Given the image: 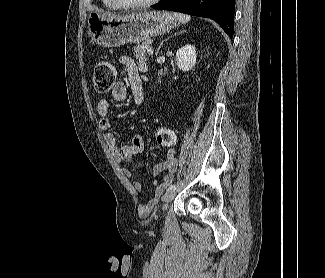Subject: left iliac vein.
<instances>
[{
	"label": "left iliac vein",
	"mask_w": 325,
	"mask_h": 278,
	"mask_svg": "<svg viewBox=\"0 0 325 278\" xmlns=\"http://www.w3.org/2000/svg\"><path fill=\"white\" fill-rule=\"evenodd\" d=\"M176 195V190H168L166 191V193L163 195L162 197V201L165 203V204H168L170 203L174 197Z\"/></svg>",
	"instance_id": "obj_1"
}]
</instances>
